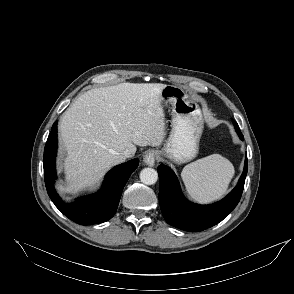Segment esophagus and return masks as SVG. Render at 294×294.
I'll return each mask as SVG.
<instances>
[{"label":"esophagus","mask_w":294,"mask_h":294,"mask_svg":"<svg viewBox=\"0 0 294 294\" xmlns=\"http://www.w3.org/2000/svg\"><path fill=\"white\" fill-rule=\"evenodd\" d=\"M155 159H156L155 151H148L143 157L144 163L148 166H153L155 164Z\"/></svg>","instance_id":"34e87169"}]
</instances>
